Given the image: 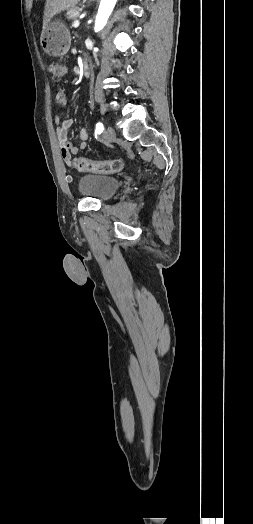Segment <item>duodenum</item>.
<instances>
[{"instance_id":"410a0bca","label":"duodenum","mask_w":253,"mask_h":524,"mask_svg":"<svg viewBox=\"0 0 253 524\" xmlns=\"http://www.w3.org/2000/svg\"><path fill=\"white\" fill-rule=\"evenodd\" d=\"M83 73L85 76H89L91 73V66L88 62L83 63Z\"/></svg>"}]
</instances>
